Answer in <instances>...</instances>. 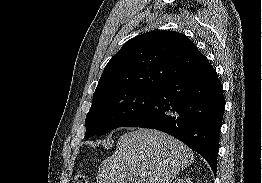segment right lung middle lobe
Returning a JSON list of instances; mask_svg holds the SVG:
<instances>
[{
    "label": "right lung middle lobe",
    "instance_id": "right-lung-middle-lobe-1",
    "mask_svg": "<svg viewBox=\"0 0 262 183\" xmlns=\"http://www.w3.org/2000/svg\"><path fill=\"white\" fill-rule=\"evenodd\" d=\"M158 89H125L93 98L86 116L85 138L125 126L153 100Z\"/></svg>",
    "mask_w": 262,
    "mask_h": 183
}]
</instances>
